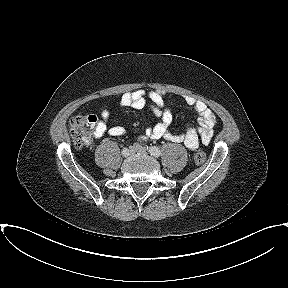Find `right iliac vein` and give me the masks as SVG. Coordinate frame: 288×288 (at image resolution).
<instances>
[{
    "mask_svg": "<svg viewBox=\"0 0 288 288\" xmlns=\"http://www.w3.org/2000/svg\"><path fill=\"white\" fill-rule=\"evenodd\" d=\"M127 150H128V155H127V156H124V157L130 156V155L133 154V152H134L133 147H130V148H128Z\"/></svg>",
    "mask_w": 288,
    "mask_h": 288,
    "instance_id": "63e3f726",
    "label": "right iliac vein"
}]
</instances>
